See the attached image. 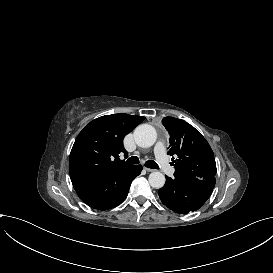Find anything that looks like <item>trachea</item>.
<instances>
[{
	"label": "trachea",
	"mask_w": 273,
	"mask_h": 273,
	"mask_svg": "<svg viewBox=\"0 0 273 273\" xmlns=\"http://www.w3.org/2000/svg\"><path fill=\"white\" fill-rule=\"evenodd\" d=\"M127 162L130 164H139V158L137 156H132L128 158ZM145 166L151 169H159L158 164L153 160L146 161Z\"/></svg>",
	"instance_id": "obj_1"
}]
</instances>
